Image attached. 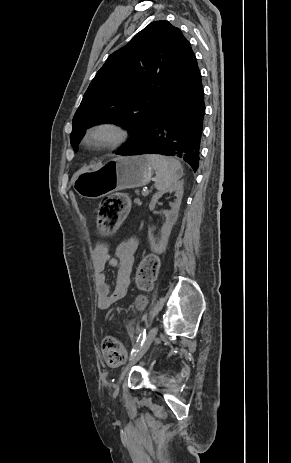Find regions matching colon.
Returning <instances> with one entry per match:
<instances>
[{
  "mask_svg": "<svg viewBox=\"0 0 291 463\" xmlns=\"http://www.w3.org/2000/svg\"><path fill=\"white\" fill-rule=\"evenodd\" d=\"M130 207V201L124 194L117 193L105 197L98 208L97 226L101 232H112L122 223ZM158 266L155 257H148L143 262L138 276L141 289L149 287ZM142 303V300L139 301ZM102 355L110 366H119L125 359L124 350L119 341L113 336H107L102 342Z\"/></svg>",
  "mask_w": 291,
  "mask_h": 463,
  "instance_id": "obj_1",
  "label": "colon"
}]
</instances>
